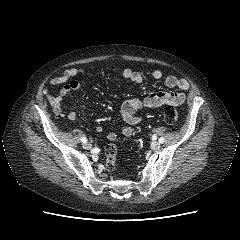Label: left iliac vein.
I'll use <instances>...</instances> for the list:
<instances>
[{
    "mask_svg": "<svg viewBox=\"0 0 240 240\" xmlns=\"http://www.w3.org/2000/svg\"><path fill=\"white\" fill-rule=\"evenodd\" d=\"M151 147L153 150H158L161 147V144L159 142H152Z\"/></svg>",
    "mask_w": 240,
    "mask_h": 240,
    "instance_id": "obj_1",
    "label": "left iliac vein"
}]
</instances>
